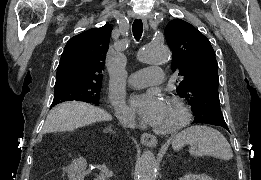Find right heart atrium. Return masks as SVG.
I'll return each instance as SVG.
<instances>
[{"label": "right heart atrium", "instance_id": "d8ad5b80", "mask_svg": "<svg viewBox=\"0 0 261 180\" xmlns=\"http://www.w3.org/2000/svg\"><path fill=\"white\" fill-rule=\"evenodd\" d=\"M107 103L114 109L117 114H122L125 112L123 99L118 93L111 91L108 94Z\"/></svg>", "mask_w": 261, "mask_h": 180}]
</instances>
